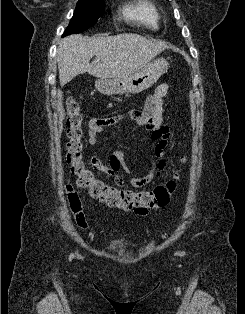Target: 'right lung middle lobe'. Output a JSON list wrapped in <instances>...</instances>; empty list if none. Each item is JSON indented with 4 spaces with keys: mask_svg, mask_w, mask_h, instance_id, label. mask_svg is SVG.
I'll use <instances>...</instances> for the list:
<instances>
[{
    "mask_svg": "<svg viewBox=\"0 0 245 314\" xmlns=\"http://www.w3.org/2000/svg\"><path fill=\"white\" fill-rule=\"evenodd\" d=\"M104 9L105 3L102 0H79L64 36L88 29L103 15Z\"/></svg>",
    "mask_w": 245,
    "mask_h": 314,
    "instance_id": "1",
    "label": "right lung middle lobe"
}]
</instances>
